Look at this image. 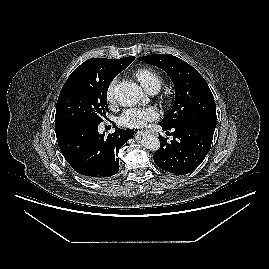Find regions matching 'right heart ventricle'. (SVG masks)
I'll list each match as a JSON object with an SVG mask.
<instances>
[{
	"instance_id": "right-heart-ventricle-1",
	"label": "right heart ventricle",
	"mask_w": 269,
	"mask_h": 269,
	"mask_svg": "<svg viewBox=\"0 0 269 269\" xmlns=\"http://www.w3.org/2000/svg\"><path fill=\"white\" fill-rule=\"evenodd\" d=\"M136 77L144 87L146 91H150L151 89H160L162 85L161 76L152 68H141L137 70Z\"/></svg>"
}]
</instances>
